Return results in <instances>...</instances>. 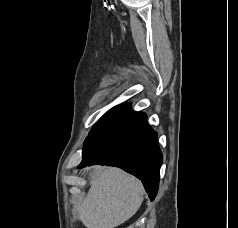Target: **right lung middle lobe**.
<instances>
[{"instance_id": "1", "label": "right lung middle lobe", "mask_w": 238, "mask_h": 228, "mask_svg": "<svg viewBox=\"0 0 238 228\" xmlns=\"http://www.w3.org/2000/svg\"><path fill=\"white\" fill-rule=\"evenodd\" d=\"M118 119L116 116L111 117H103L98 124H96L90 131L88 137L86 138L84 144L89 142L92 138H94L100 131H102L105 127H107L111 122Z\"/></svg>"}]
</instances>
